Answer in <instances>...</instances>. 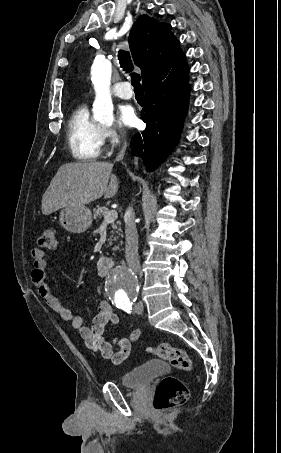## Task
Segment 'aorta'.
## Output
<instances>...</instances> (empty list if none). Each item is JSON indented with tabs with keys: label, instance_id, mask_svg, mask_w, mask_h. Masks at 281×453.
Wrapping results in <instances>:
<instances>
[{
	"label": "aorta",
	"instance_id": "obj_1",
	"mask_svg": "<svg viewBox=\"0 0 281 453\" xmlns=\"http://www.w3.org/2000/svg\"><path fill=\"white\" fill-rule=\"evenodd\" d=\"M112 65L105 58L96 59L91 67V80L95 90L93 117L103 124H112L113 103L110 94ZM138 281L134 272L123 267H115L106 277L105 291L118 306L130 302L138 290Z\"/></svg>",
	"mask_w": 281,
	"mask_h": 453
}]
</instances>
